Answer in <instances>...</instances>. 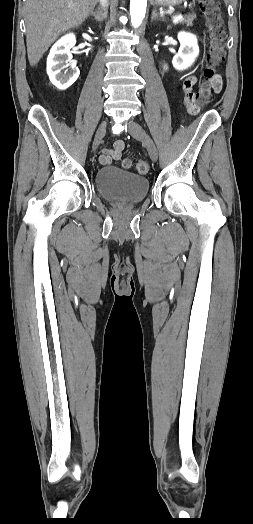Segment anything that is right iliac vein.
I'll use <instances>...</instances> for the list:
<instances>
[{
    "instance_id": "1",
    "label": "right iliac vein",
    "mask_w": 253,
    "mask_h": 524,
    "mask_svg": "<svg viewBox=\"0 0 253 524\" xmlns=\"http://www.w3.org/2000/svg\"><path fill=\"white\" fill-rule=\"evenodd\" d=\"M106 127H107V123L106 122L101 123V125L99 126V128H98V130L96 132L95 138H94L93 150H96L98 148V146L101 143L103 137L105 136V134H106Z\"/></svg>"
}]
</instances>
